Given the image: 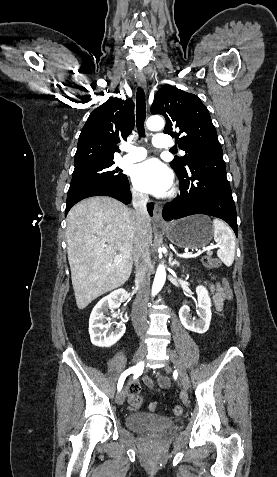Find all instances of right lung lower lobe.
I'll return each mask as SVG.
<instances>
[{
	"label": "right lung lower lobe",
	"mask_w": 277,
	"mask_h": 477,
	"mask_svg": "<svg viewBox=\"0 0 277 477\" xmlns=\"http://www.w3.org/2000/svg\"><path fill=\"white\" fill-rule=\"evenodd\" d=\"M92 196H110L113 197L124 204H129L131 201V192L129 184L127 183L125 186L121 187H113V186H97L90 188L81 192L80 194L73 197L71 200L66 202V209L65 215L69 212V210L79 201L82 199L92 197ZM153 203H149L147 205L148 212L152 216L153 213Z\"/></svg>",
	"instance_id": "98d812e1"
}]
</instances>
